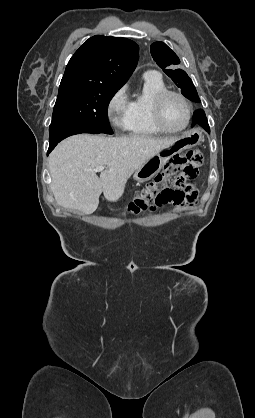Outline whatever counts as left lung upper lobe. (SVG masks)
I'll return each instance as SVG.
<instances>
[{"instance_id": "1", "label": "left lung upper lobe", "mask_w": 255, "mask_h": 418, "mask_svg": "<svg viewBox=\"0 0 255 418\" xmlns=\"http://www.w3.org/2000/svg\"><path fill=\"white\" fill-rule=\"evenodd\" d=\"M150 52L159 67L181 88L182 94L193 102H200L196 88L187 75L181 69H169L180 63L178 56L163 42H155L150 47Z\"/></svg>"}]
</instances>
